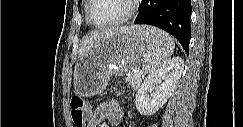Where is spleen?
I'll use <instances>...</instances> for the list:
<instances>
[{
    "mask_svg": "<svg viewBox=\"0 0 243 127\" xmlns=\"http://www.w3.org/2000/svg\"><path fill=\"white\" fill-rule=\"evenodd\" d=\"M141 34L149 44L148 52L144 56L143 69L153 73L169 61L174 51V40L166 32L149 26H143Z\"/></svg>",
    "mask_w": 243,
    "mask_h": 127,
    "instance_id": "3e777b00",
    "label": "spleen"
}]
</instances>
